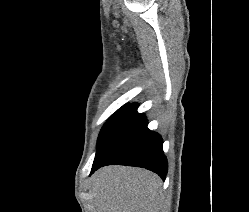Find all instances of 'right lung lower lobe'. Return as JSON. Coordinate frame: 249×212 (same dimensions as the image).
Here are the masks:
<instances>
[{
  "instance_id": "right-lung-lower-lobe-1",
  "label": "right lung lower lobe",
  "mask_w": 249,
  "mask_h": 212,
  "mask_svg": "<svg viewBox=\"0 0 249 212\" xmlns=\"http://www.w3.org/2000/svg\"><path fill=\"white\" fill-rule=\"evenodd\" d=\"M137 106L130 104L110 127L98 146L91 174L105 165L120 164L146 168L165 178L168 165L162 138L147 128Z\"/></svg>"
}]
</instances>
